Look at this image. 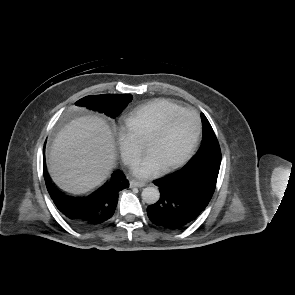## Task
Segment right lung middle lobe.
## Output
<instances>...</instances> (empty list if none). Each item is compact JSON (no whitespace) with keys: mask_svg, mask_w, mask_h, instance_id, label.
<instances>
[{"mask_svg":"<svg viewBox=\"0 0 295 295\" xmlns=\"http://www.w3.org/2000/svg\"><path fill=\"white\" fill-rule=\"evenodd\" d=\"M132 98L130 94H103L84 97L75 104L115 118L127 107Z\"/></svg>","mask_w":295,"mask_h":295,"instance_id":"dd1d6c3e","label":"right lung middle lobe"}]
</instances>
